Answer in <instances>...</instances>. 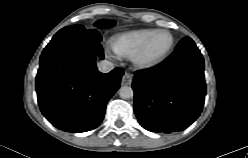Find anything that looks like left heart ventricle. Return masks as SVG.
<instances>
[{
    "label": "left heart ventricle",
    "mask_w": 248,
    "mask_h": 158,
    "mask_svg": "<svg viewBox=\"0 0 248 158\" xmlns=\"http://www.w3.org/2000/svg\"><path fill=\"white\" fill-rule=\"evenodd\" d=\"M170 37L166 33L158 34L152 40L149 47V55L156 56L162 53L169 45Z\"/></svg>",
    "instance_id": "1"
}]
</instances>
